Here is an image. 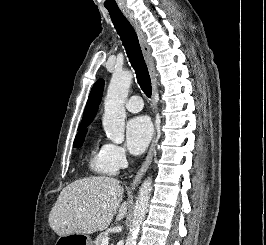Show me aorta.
<instances>
[{
	"label": "aorta",
	"mask_w": 266,
	"mask_h": 245,
	"mask_svg": "<svg viewBox=\"0 0 266 245\" xmlns=\"http://www.w3.org/2000/svg\"><path fill=\"white\" fill-rule=\"evenodd\" d=\"M132 78L133 74L131 70L113 72L104 100V116H102L103 129L108 139H111L116 145H121L125 137L126 114L124 102L128 96ZM151 185L152 179L151 177H147L139 189L132 215V223L125 245H136L140 227L148 211V203L152 191Z\"/></svg>",
	"instance_id": "762f6f07"
}]
</instances>
